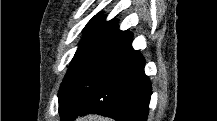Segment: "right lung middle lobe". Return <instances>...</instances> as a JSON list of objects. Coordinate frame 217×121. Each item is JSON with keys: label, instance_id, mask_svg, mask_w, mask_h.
I'll return each mask as SVG.
<instances>
[{"label": "right lung middle lobe", "instance_id": "right-lung-middle-lobe-1", "mask_svg": "<svg viewBox=\"0 0 217 121\" xmlns=\"http://www.w3.org/2000/svg\"><path fill=\"white\" fill-rule=\"evenodd\" d=\"M121 33L117 23L114 22L88 25L84 29L83 38L60 86L58 95L76 82Z\"/></svg>", "mask_w": 217, "mask_h": 121}]
</instances>
